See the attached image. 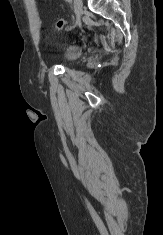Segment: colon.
Segmentation results:
<instances>
[{
  "label": "colon",
  "mask_w": 163,
  "mask_h": 235,
  "mask_svg": "<svg viewBox=\"0 0 163 235\" xmlns=\"http://www.w3.org/2000/svg\"><path fill=\"white\" fill-rule=\"evenodd\" d=\"M66 24V21L62 18L58 19L55 23L56 29H62Z\"/></svg>",
  "instance_id": "1"
}]
</instances>
